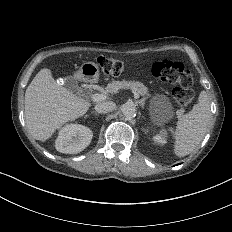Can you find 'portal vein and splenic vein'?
<instances>
[{"mask_svg": "<svg viewBox=\"0 0 232 232\" xmlns=\"http://www.w3.org/2000/svg\"><path fill=\"white\" fill-rule=\"evenodd\" d=\"M134 97L136 99L139 98V96L137 94H135ZM90 98L94 102H99V101L104 100L105 96L103 94L94 93V94H91Z\"/></svg>", "mask_w": 232, "mask_h": 232, "instance_id": "1", "label": "portal vein and splenic vein"}]
</instances>
